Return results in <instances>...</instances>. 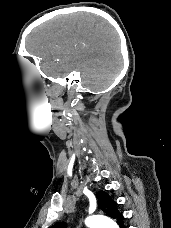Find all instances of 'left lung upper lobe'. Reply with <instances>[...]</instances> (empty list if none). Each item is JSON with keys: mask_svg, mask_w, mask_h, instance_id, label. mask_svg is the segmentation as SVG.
I'll use <instances>...</instances> for the list:
<instances>
[{"mask_svg": "<svg viewBox=\"0 0 171 228\" xmlns=\"http://www.w3.org/2000/svg\"><path fill=\"white\" fill-rule=\"evenodd\" d=\"M98 201V208L101 209L107 216L116 220L118 224L122 223L123 216L117 210L116 202L113 201L109 195L105 192H99L96 194ZM51 228H66V224L61 222L53 225Z\"/></svg>", "mask_w": 171, "mask_h": 228, "instance_id": "obj_1", "label": "left lung upper lobe"}]
</instances>
